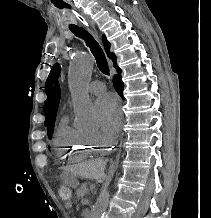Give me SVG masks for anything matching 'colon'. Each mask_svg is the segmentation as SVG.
<instances>
[{
    "label": "colon",
    "mask_w": 211,
    "mask_h": 218,
    "mask_svg": "<svg viewBox=\"0 0 211 218\" xmlns=\"http://www.w3.org/2000/svg\"><path fill=\"white\" fill-rule=\"evenodd\" d=\"M58 196L59 198L64 201V202H68L71 200L72 198V192H71V189L66 186V185H61L59 186L58 188Z\"/></svg>",
    "instance_id": "1"
}]
</instances>
